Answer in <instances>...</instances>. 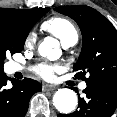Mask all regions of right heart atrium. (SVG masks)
<instances>
[{
	"label": "right heart atrium",
	"mask_w": 117,
	"mask_h": 117,
	"mask_svg": "<svg viewBox=\"0 0 117 117\" xmlns=\"http://www.w3.org/2000/svg\"><path fill=\"white\" fill-rule=\"evenodd\" d=\"M36 36L34 33H30L25 39V46L30 47L34 44Z\"/></svg>",
	"instance_id": "obj_1"
}]
</instances>
